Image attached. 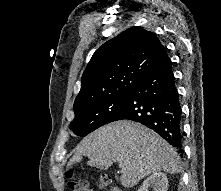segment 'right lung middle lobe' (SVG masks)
<instances>
[{
    "instance_id": "1",
    "label": "right lung middle lobe",
    "mask_w": 221,
    "mask_h": 191,
    "mask_svg": "<svg viewBox=\"0 0 221 191\" xmlns=\"http://www.w3.org/2000/svg\"><path fill=\"white\" fill-rule=\"evenodd\" d=\"M131 92L120 93L76 111L75 118L70 123V129L76 135L86 136L97 128L116 121L128 102Z\"/></svg>"
}]
</instances>
